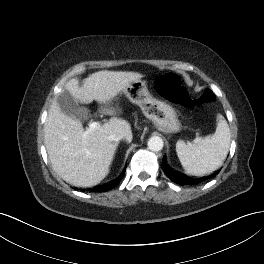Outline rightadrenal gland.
Masks as SVG:
<instances>
[{"instance_id":"2a0ac1e0","label":"right adrenal gland","mask_w":264,"mask_h":264,"mask_svg":"<svg viewBox=\"0 0 264 264\" xmlns=\"http://www.w3.org/2000/svg\"><path fill=\"white\" fill-rule=\"evenodd\" d=\"M115 146H116V147L118 146V142L115 143Z\"/></svg>"}]
</instances>
